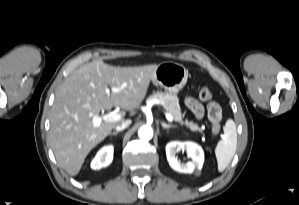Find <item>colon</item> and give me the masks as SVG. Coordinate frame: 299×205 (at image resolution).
Returning <instances> with one entry per match:
<instances>
[{"instance_id": "obj_1", "label": "colon", "mask_w": 299, "mask_h": 205, "mask_svg": "<svg viewBox=\"0 0 299 205\" xmlns=\"http://www.w3.org/2000/svg\"><path fill=\"white\" fill-rule=\"evenodd\" d=\"M199 98L203 101H209L212 98V93L209 88L202 87L199 91ZM210 121L212 123V133L218 135L221 129V111L217 108H212L208 112Z\"/></svg>"}]
</instances>
